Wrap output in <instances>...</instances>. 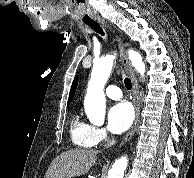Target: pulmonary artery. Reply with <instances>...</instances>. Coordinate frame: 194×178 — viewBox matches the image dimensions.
Here are the masks:
<instances>
[{"label": "pulmonary artery", "instance_id": "e3ab8cb5", "mask_svg": "<svg viewBox=\"0 0 194 178\" xmlns=\"http://www.w3.org/2000/svg\"><path fill=\"white\" fill-rule=\"evenodd\" d=\"M105 93L107 97L113 100H119L123 95L121 89L114 85L107 87Z\"/></svg>", "mask_w": 194, "mask_h": 178}]
</instances>
